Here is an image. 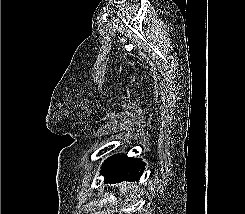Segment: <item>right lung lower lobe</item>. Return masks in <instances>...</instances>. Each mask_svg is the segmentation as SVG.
<instances>
[{
  "label": "right lung lower lobe",
  "mask_w": 245,
  "mask_h": 214,
  "mask_svg": "<svg viewBox=\"0 0 245 214\" xmlns=\"http://www.w3.org/2000/svg\"><path fill=\"white\" fill-rule=\"evenodd\" d=\"M117 164V168L109 173H104L105 183L138 180L145 168V163L141 159L128 158L124 155H120Z\"/></svg>",
  "instance_id": "obj_1"
}]
</instances>
